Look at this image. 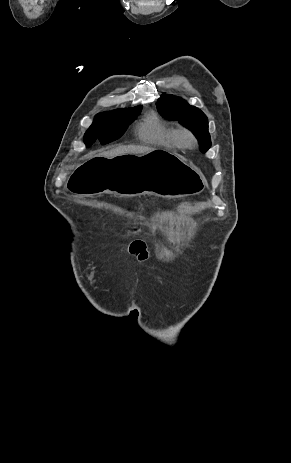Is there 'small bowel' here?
I'll use <instances>...</instances> for the list:
<instances>
[{
  "mask_svg": "<svg viewBox=\"0 0 291 463\" xmlns=\"http://www.w3.org/2000/svg\"><path fill=\"white\" fill-rule=\"evenodd\" d=\"M129 252L140 262L147 260L149 255L146 242L138 236L129 243Z\"/></svg>",
  "mask_w": 291,
  "mask_h": 463,
  "instance_id": "c3829d8e",
  "label": "small bowel"
}]
</instances>
